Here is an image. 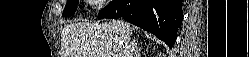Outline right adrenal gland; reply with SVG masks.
<instances>
[{
  "label": "right adrenal gland",
  "mask_w": 249,
  "mask_h": 57,
  "mask_svg": "<svg viewBox=\"0 0 249 57\" xmlns=\"http://www.w3.org/2000/svg\"><path fill=\"white\" fill-rule=\"evenodd\" d=\"M132 43H133V45H134V47H135V53H136V55H137L138 57H140V48H138L137 43H136V40L134 39Z\"/></svg>",
  "instance_id": "right-adrenal-gland-1"
}]
</instances>
